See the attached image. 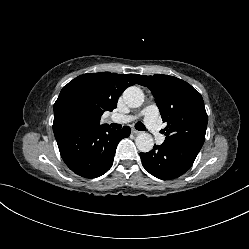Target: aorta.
Masks as SVG:
<instances>
[{
	"mask_svg": "<svg viewBox=\"0 0 249 249\" xmlns=\"http://www.w3.org/2000/svg\"><path fill=\"white\" fill-rule=\"evenodd\" d=\"M123 98L129 107L137 108L141 106L144 101V93L140 88L131 86L124 91ZM135 143L138 150L144 153L151 151L154 146L153 137L149 133L145 132L140 133L136 137Z\"/></svg>",
	"mask_w": 249,
	"mask_h": 249,
	"instance_id": "obj_1",
	"label": "aorta"
}]
</instances>
